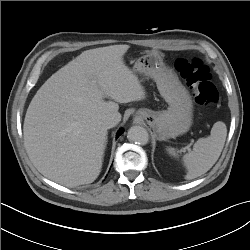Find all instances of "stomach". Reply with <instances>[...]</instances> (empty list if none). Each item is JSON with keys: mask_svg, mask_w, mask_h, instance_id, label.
I'll return each mask as SVG.
<instances>
[{"mask_svg": "<svg viewBox=\"0 0 250 250\" xmlns=\"http://www.w3.org/2000/svg\"><path fill=\"white\" fill-rule=\"evenodd\" d=\"M133 71L153 78L167 110L139 109L137 116L153 129L158 140L175 138L189 131L193 121V102L187 89L164 63L160 52L152 51L135 62Z\"/></svg>", "mask_w": 250, "mask_h": 250, "instance_id": "0dacf381", "label": "stomach"}]
</instances>
